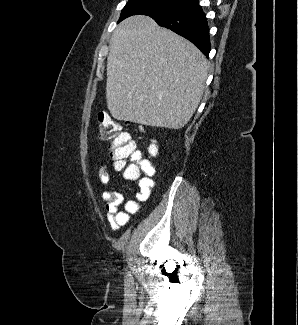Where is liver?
<instances>
[{"instance_id":"obj_1","label":"liver","mask_w":298,"mask_h":325,"mask_svg":"<svg viewBox=\"0 0 298 325\" xmlns=\"http://www.w3.org/2000/svg\"><path fill=\"white\" fill-rule=\"evenodd\" d=\"M106 70L114 118L182 128L202 98L208 62L187 38L136 14L113 30Z\"/></svg>"}]
</instances>
